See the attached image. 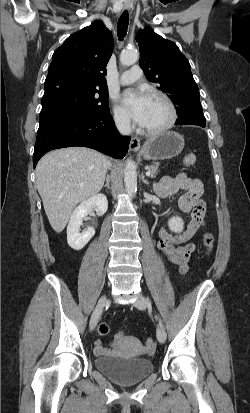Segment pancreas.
<instances>
[{
	"label": "pancreas",
	"instance_id": "pancreas-1",
	"mask_svg": "<svg viewBox=\"0 0 250 413\" xmlns=\"http://www.w3.org/2000/svg\"><path fill=\"white\" fill-rule=\"evenodd\" d=\"M159 168V163H156L154 165H151L149 168V171L151 172L150 177L155 178Z\"/></svg>",
	"mask_w": 250,
	"mask_h": 413
}]
</instances>
